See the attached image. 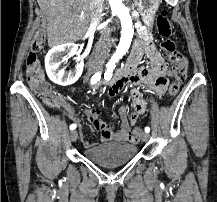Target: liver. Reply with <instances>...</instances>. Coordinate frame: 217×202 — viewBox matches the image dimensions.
<instances>
[{
    "label": "liver",
    "mask_w": 217,
    "mask_h": 202,
    "mask_svg": "<svg viewBox=\"0 0 217 202\" xmlns=\"http://www.w3.org/2000/svg\"><path fill=\"white\" fill-rule=\"evenodd\" d=\"M47 18L49 48L78 42L87 32L89 0H37Z\"/></svg>",
    "instance_id": "1"
}]
</instances>
